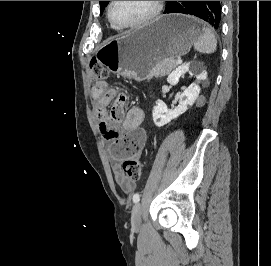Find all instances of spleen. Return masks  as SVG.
<instances>
[{
  "label": "spleen",
  "instance_id": "1",
  "mask_svg": "<svg viewBox=\"0 0 271 266\" xmlns=\"http://www.w3.org/2000/svg\"><path fill=\"white\" fill-rule=\"evenodd\" d=\"M194 48L200 53H214L217 48V40L213 31L209 28H203L202 34L194 42Z\"/></svg>",
  "mask_w": 271,
  "mask_h": 266
}]
</instances>
